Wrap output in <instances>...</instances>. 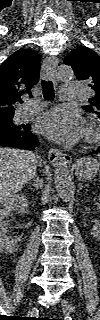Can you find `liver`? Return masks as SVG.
<instances>
[{"instance_id": "obj_1", "label": "liver", "mask_w": 100, "mask_h": 320, "mask_svg": "<svg viewBox=\"0 0 100 320\" xmlns=\"http://www.w3.org/2000/svg\"><path fill=\"white\" fill-rule=\"evenodd\" d=\"M39 158L31 151L13 148H0V199L15 195L41 166Z\"/></svg>"}]
</instances>
